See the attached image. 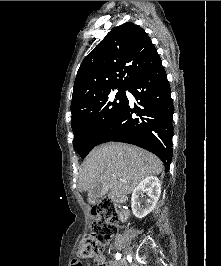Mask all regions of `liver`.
Segmentation results:
<instances>
[{"instance_id":"6515ba94","label":"liver","mask_w":221,"mask_h":266,"mask_svg":"<svg viewBox=\"0 0 221 266\" xmlns=\"http://www.w3.org/2000/svg\"><path fill=\"white\" fill-rule=\"evenodd\" d=\"M162 169L161 160L152 153L133 145L110 142L89 153L80 170L78 185L80 191H89L102 184L106 192L127 195L145 177L158 175Z\"/></svg>"}]
</instances>
